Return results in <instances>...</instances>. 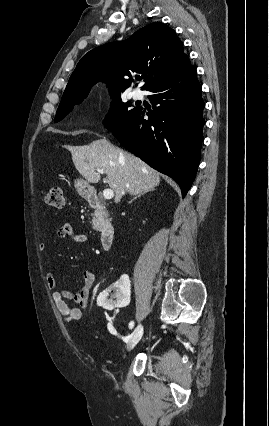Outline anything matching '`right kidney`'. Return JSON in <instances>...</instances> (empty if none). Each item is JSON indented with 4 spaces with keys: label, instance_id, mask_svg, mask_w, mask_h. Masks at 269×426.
Segmentation results:
<instances>
[{
    "label": "right kidney",
    "instance_id": "obj_1",
    "mask_svg": "<svg viewBox=\"0 0 269 426\" xmlns=\"http://www.w3.org/2000/svg\"><path fill=\"white\" fill-rule=\"evenodd\" d=\"M145 225L148 223L146 220L143 222ZM120 280L117 282L114 287L117 291V296L113 300L108 299V295H113L115 292V289L113 286H106L104 288V292L100 294V296L97 299L98 305L101 306V309L103 311H110L111 309L114 311H123L127 308L129 305L130 297H131V284L127 280L126 274L120 275Z\"/></svg>",
    "mask_w": 269,
    "mask_h": 426
}]
</instances>
